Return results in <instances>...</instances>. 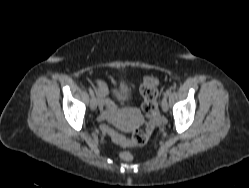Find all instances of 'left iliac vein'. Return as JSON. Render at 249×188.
I'll return each mask as SVG.
<instances>
[{
	"mask_svg": "<svg viewBox=\"0 0 249 188\" xmlns=\"http://www.w3.org/2000/svg\"><path fill=\"white\" fill-rule=\"evenodd\" d=\"M161 107L164 112L168 111L169 106H168L167 97H163L162 102H161Z\"/></svg>",
	"mask_w": 249,
	"mask_h": 188,
	"instance_id": "4c4485c4",
	"label": "left iliac vein"
}]
</instances>
